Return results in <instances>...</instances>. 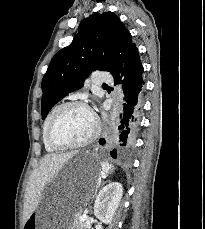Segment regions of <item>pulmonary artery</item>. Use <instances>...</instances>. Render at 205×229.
I'll return each mask as SVG.
<instances>
[{
  "instance_id": "pulmonary-artery-1",
  "label": "pulmonary artery",
  "mask_w": 205,
  "mask_h": 229,
  "mask_svg": "<svg viewBox=\"0 0 205 229\" xmlns=\"http://www.w3.org/2000/svg\"><path fill=\"white\" fill-rule=\"evenodd\" d=\"M93 82L98 85L110 84L113 82V77L108 72L96 71L93 74Z\"/></svg>"
}]
</instances>
